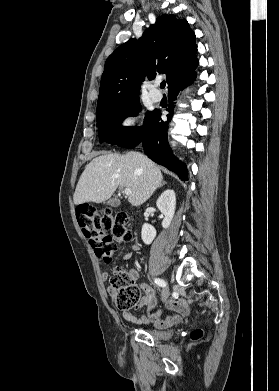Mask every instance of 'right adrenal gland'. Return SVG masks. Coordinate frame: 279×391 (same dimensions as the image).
Here are the masks:
<instances>
[{
  "instance_id": "right-adrenal-gland-1",
  "label": "right adrenal gland",
  "mask_w": 279,
  "mask_h": 391,
  "mask_svg": "<svg viewBox=\"0 0 279 391\" xmlns=\"http://www.w3.org/2000/svg\"><path fill=\"white\" fill-rule=\"evenodd\" d=\"M165 184H166V182H163V183L160 185V187L163 186V185H165Z\"/></svg>"
}]
</instances>
